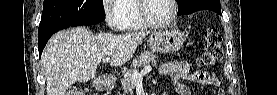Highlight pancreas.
<instances>
[{
    "mask_svg": "<svg viewBox=\"0 0 277 95\" xmlns=\"http://www.w3.org/2000/svg\"><path fill=\"white\" fill-rule=\"evenodd\" d=\"M158 56L154 54L152 51H145L140 54L132 63L131 68L124 73V76L121 80L122 89L124 92L133 94V90L135 87V81L131 78L134 72H138L140 67H144L147 65H156Z\"/></svg>",
    "mask_w": 277,
    "mask_h": 95,
    "instance_id": "obj_1",
    "label": "pancreas"
}]
</instances>
